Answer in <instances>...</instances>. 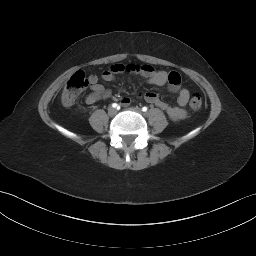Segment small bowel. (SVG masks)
<instances>
[{
	"mask_svg": "<svg viewBox=\"0 0 256 256\" xmlns=\"http://www.w3.org/2000/svg\"><path fill=\"white\" fill-rule=\"evenodd\" d=\"M128 72L131 74L143 77L147 83L156 86L167 85L172 93L178 94L177 106L170 105L163 100L155 92H147L140 95L146 102L153 104L162 109L170 119L174 121L182 120L186 116L185 107L188 103L190 93L188 89L181 86V78L177 72H166L163 70H155L152 66L147 64H115L110 69L105 70L101 74V78L105 82H113L118 74ZM91 93L85 97V102L89 105L96 103L101 99H108L112 92L99 83V78L96 75L89 76ZM136 98L121 97L119 102L124 107H129Z\"/></svg>",
	"mask_w": 256,
	"mask_h": 256,
	"instance_id": "c3829d8e",
	"label": "small bowel"
}]
</instances>
